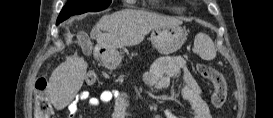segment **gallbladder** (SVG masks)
Wrapping results in <instances>:
<instances>
[{
    "mask_svg": "<svg viewBox=\"0 0 273 118\" xmlns=\"http://www.w3.org/2000/svg\"><path fill=\"white\" fill-rule=\"evenodd\" d=\"M82 50L87 55L91 54L92 52V48L87 44H82Z\"/></svg>",
    "mask_w": 273,
    "mask_h": 118,
    "instance_id": "obj_1",
    "label": "gallbladder"
}]
</instances>
